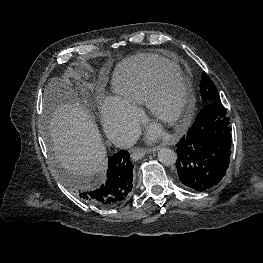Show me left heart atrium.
Instances as JSON below:
<instances>
[{
    "instance_id": "39dd6f15",
    "label": "left heart atrium",
    "mask_w": 263,
    "mask_h": 263,
    "mask_svg": "<svg viewBox=\"0 0 263 263\" xmlns=\"http://www.w3.org/2000/svg\"><path fill=\"white\" fill-rule=\"evenodd\" d=\"M159 136H160V132H159L158 130L152 129V130L150 131V138H151V139H156V138H158Z\"/></svg>"
}]
</instances>
